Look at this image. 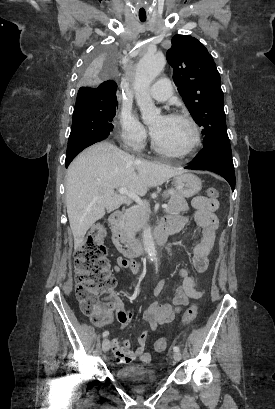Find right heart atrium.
<instances>
[{
  "mask_svg": "<svg viewBox=\"0 0 275 409\" xmlns=\"http://www.w3.org/2000/svg\"><path fill=\"white\" fill-rule=\"evenodd\" d=\"M118 139L127 147L137 149L146 140V129L136 115L127 106H122L117 114Z\"/></svg>",
  "mask_w": 275,
  "mask_h": 409,
  "instance_id": "obj_1",
  "label": "right heart atrium"
}]
</instances>
